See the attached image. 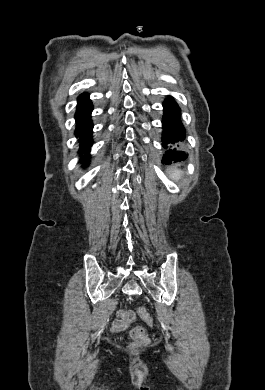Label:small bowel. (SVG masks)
Segmentation results:
<instances>
[{"label": "small bowel", "instance_id": "c3829d8e", "mask_svg": "<svg viewBox=\"0 0 265 390\" xmlns=\"http://www.w3.org/2000/svg\"><path fill=\"white\" fill-rule=\"evenodd\" d=\"M127 326H128L127 322H124V321H122L120 319H116L112 323V330L115 331V332H120V331L126 329Z\"/></svg>", "mask_w": 265, "mask_h": 390}]
</instances>
